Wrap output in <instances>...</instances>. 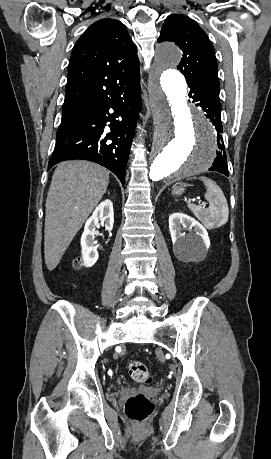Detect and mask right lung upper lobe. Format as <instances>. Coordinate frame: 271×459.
Listing matches in <instances>:
<instances>
[{
  "label": "right lung upper lobe",
  "instance_id": "1",
  "mask_svg": "<svg viewBox=\"0 0 271 459\" xmlns=\"http://www.w3.org/2000/svg\"><path fill=\"white\" fill-rule=\"evenodd\" d=\"M140 77L137 47L126 26L111 18L93 23L77 41L69 62L63 114Z\"/></svg>",
  "mask_w": 271,
  "mask_h": 459
}]
</instances>
